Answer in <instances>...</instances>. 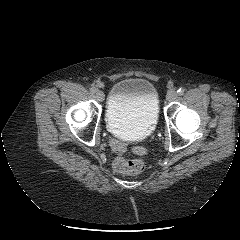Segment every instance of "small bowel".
Listing matches in <instances>:
<instances>
[{
  "instance_id": "obj_1",
  "label": "small bowel",
  "mask_w": 240,
  "mask_h": 240,
  "mask_svg": "<svg viewBox=\"0 0 240 240\" xmlns=\"http://www.w3.org/2000/svg\"><path fill=\"white\" fill-rule=\"evenodd\" d=\"M106 149L109 152H115L117 155H126L129 152V147L117 138L112 137L106 144Z\"/></svg>"
}]
</instances>
